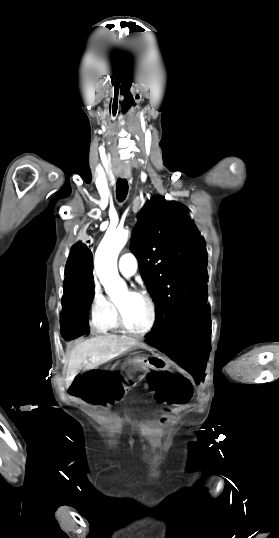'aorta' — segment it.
<instances>
[{
  "mask_svg": "<svg viewBox=\"0 0 279 538\" xmlns=\"http://www.w3.org/2000/svg\"><path fill=\"white\" fill-rule=\"evenodd\" d=\"M128 234L129 231L125 229L107 231L95 253L96 273L106 294L113 299L127 293L126 283L118 274L117 258L127 243Z\"/></svg>",
  "mask_w": 279,
  "mask_h": 538,
  "instance_id": "obj_1",
  "label": "aorta"
}]
</instances>
